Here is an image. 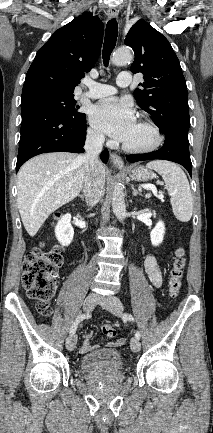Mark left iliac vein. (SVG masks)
<instances>
[{
    "mask_svg": "<svg viewBox=\"0 0 213 433\" xmlns=\"http://www.w3.org/2000/svg\"><path fill=\"white\" fill-rule=\"evenodd\" d=\"M99 304L109 312L113 313L114 315L118 317L122 316L123 304L117 297L109 296V297L101 298L99 300ZM130 347L132 351L138 352L141 348L139 339H137L136 337L131 338Z\"/></svg>",
    "mask_w": 213,
    "mask_h": 433,
    "instance_id": "1",
    "label": "left iliac vein"
}]
</instances>
